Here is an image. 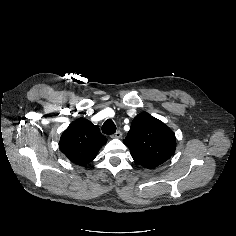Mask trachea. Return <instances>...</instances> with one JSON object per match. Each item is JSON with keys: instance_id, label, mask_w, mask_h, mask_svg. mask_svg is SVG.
Returning <instances> with one entry per match:
<instances>
[{"instance_id": "trachea-1", "label": "trachea", "mask_w": 236, "mask_h": 236, "mask_svg": "<svg viewBox=\"0 0 236 236\" xmlns=\"http://www.w3.org/2000/svg\"><path fill=\"white\" fill-rule=\"evenodd\" d=\"M102 132L107 135L114 134L116 132L115 123L111 119L106 120L102 126Z\"/></svg>"}]
</instances>
